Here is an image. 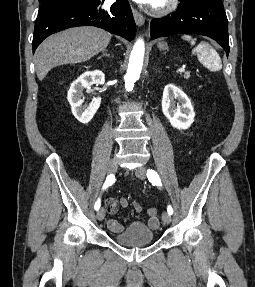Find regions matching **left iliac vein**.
<instances>
[{"label":"left iliac vein","mask_w":255,"mask_h":287,"mask_svg":"<svg viewBox=\"0 0 255 287\" xmlns=\"http://www.w3.org/2000/svg\"><path fill=\"white\" fill-rule=\"evenodd\" d=\"M135 174L140 179L146 178V169L144 166H140L135 170ZM162 220L165 224H170L171 222V215L168 212H163L162 214Z\"/></svg>","instance_id":"1"}]
</instances>
